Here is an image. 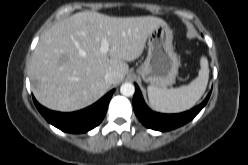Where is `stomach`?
<instances>
[{"label": "stomach", "instance_id": "obj_1", "mask_svg": "<svg viewBox=\"0 0 248 165\" xmlns=\"http://www.w3.org/2000/svg\"><path fill=\"white\" fill-rule=\"evenodd\" d=\"M173 32L168 25H160L148 36V55L137 73L145 82L158 88L175 83L179 61L173 49Z\"/></svg>", "mask_w": 248, "mask_h": 165}]
</instances>
